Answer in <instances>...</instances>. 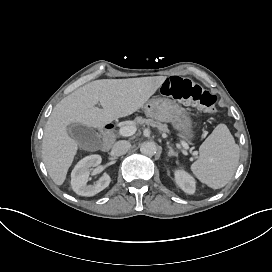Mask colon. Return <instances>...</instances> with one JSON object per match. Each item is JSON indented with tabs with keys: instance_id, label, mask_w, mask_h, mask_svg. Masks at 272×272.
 I'll list each match as a JSON object with an SVG mask.
<instances>
[{
	"instance_id": "5ec220e1",
	"label": "colon",
	"mask_w": 272,
	"mask_h": 272,
	"mask_svg": "<svg viewBox=\"0 0 272 272\" xmlns=\"http://www.w3.org/2000/svg\"><path fill=\"white\" fill-rule=\"evenodd\" d=\"M162 95L183 104L195 105L207 113L216 111V96L190 78H168L163 84Z\"/></svg>"
}]
</instances>
